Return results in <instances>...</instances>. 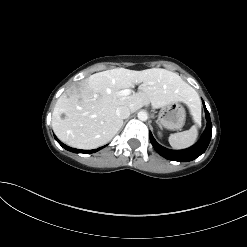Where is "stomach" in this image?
<instances>
[{
    "mask_svg": "<svg viewBox=\"0 0 247 247\" xmlns=\"http://www.w3.org/2000/svg\"><path fill=\"white\" fill-rule=\"evenodd\" d=\"M186 111L178 103H171L164 106L158 116L160 124L168 130H180L185 124Z\"/></svg>",
    "mask_w": 247,
    "mask_h": 247,
    "instance_id": "stomach-1",
    "label": "stomach"
}]
</instances>
